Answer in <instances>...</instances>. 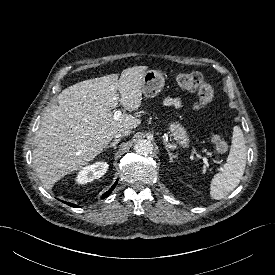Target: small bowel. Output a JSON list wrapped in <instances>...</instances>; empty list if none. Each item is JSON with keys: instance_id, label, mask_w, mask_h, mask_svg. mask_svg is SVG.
I'll use <instances>...</instances> for the list:
<instances>
[{"instance_id": "1", "label": "small bowel", "mask_w": 275, "mask_h": 275, "mask_svg": "<svg viewBox=\"0 0 275 275\" xmlns=\"http://www.w3.org/2000/svg\"><path fill=\"white\" fill-rule=\"evenodd\" d=\"M164 104L167 106H174L177 107L180 105V99L178 98H172V97H166L164 99Z\"/></svg>"}]
</instances>
